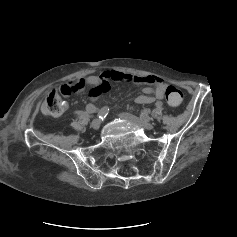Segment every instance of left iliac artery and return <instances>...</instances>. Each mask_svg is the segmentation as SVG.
Returning a JSON list of instances; mask_svg holds the SVG:
<instances>
[{"label": "left iliac artery", "instance_id": "obj_1", "mask_svg": "<svg viewBox=\"0 0 237 237\" xmlns=\"http://www.w3.org/2000/svg\"><path fill=\"white\" fill-rule=\"evenodd\" d=\"M155 105H156L157 107H162L163 103H162L161 101H157V102L155 103Z\"/></svg>", "mask_w": 237, "mask_h": 237}]
</instances>
